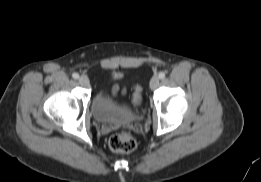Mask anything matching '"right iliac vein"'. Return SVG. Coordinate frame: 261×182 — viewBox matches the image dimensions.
Returning <instances> with one entry per match:
<instances>
[{"mask_svg": "<svg viewBox=\"0 0 261 182\" xmlns=\"http://www.w3.org/2000/svg\"><path fill=\"white\" fill-rule=\"evenodd\" d=\"M79 83L82 85V86H89V79H88V77H86V76H81L80 78H79Z\"/></svg>", "mask_w": 261, "mask_h": 182, "instance_id": "1", "label": "right iliac vein"}]
</instances>
